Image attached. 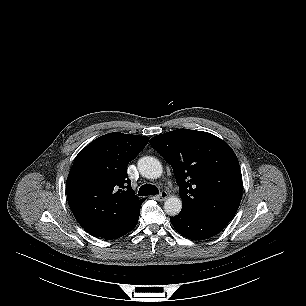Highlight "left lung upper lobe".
I'll return each mask as SVG.
<instances>
[{
	"instance_id": "1",
	"label": "left lung upper lobe",
	"mask_w": 306,
	"mask_h": 306,
	"mask_svg": "<svg viewBox=\"0 0 306 306\" xmlns=\"http://www.w3.org/2000/svg\"><path fill=\"white\" fill-rule=\"evenodd\" d=\"M172 166L182 211L229 222L241 202L238 159L222 139L203 131L178 129L150 140Z\"/></svg>"
}]
</instances>
